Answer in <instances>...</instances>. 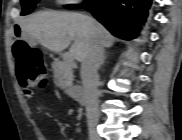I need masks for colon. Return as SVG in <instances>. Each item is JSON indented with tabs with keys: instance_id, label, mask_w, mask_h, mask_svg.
Instances as JSON below:
<instances>
[{
	"instance_id": "colon-1",
	"label": "colon",
	"mask_w": 182,
	"mask_h": 140,
	"mask_svg": "<svg viewBox=\"0 0 182 140\" xmlns=\"http://www.w3.org/2000/svg\"><path fill=\"white\" fill-rule=\"evenodd\" d=\"M13 54L17 61V72L24 94L32 97L37 86L45 83L47 69L41 52L24 41H16Z\"/></svg>"
}]
</instances>
